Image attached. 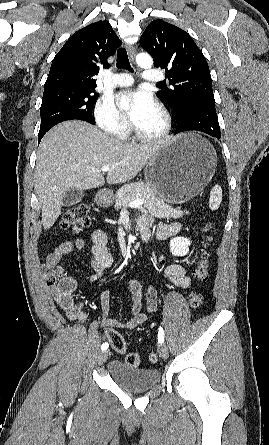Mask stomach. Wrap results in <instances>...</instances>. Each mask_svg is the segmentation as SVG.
<instances>
[{"mask_svg":"<svg viewBox=\"0 0 269 445\" xmlns=\"http://www.w3.org/2000/svg\"><path fill=\"white\" fill-rule=\"evenodd\" d=\"M217 166V155L211 144L198 134L177 135L148 161L146 184L171 204H182L197 196L209 183ZM110 191H101L95 201L102 207L112 204Z\"/></svg>","mask_w":269,"mask_h":445,"instance_id":"1","label":"stomach"}]
</instances>
